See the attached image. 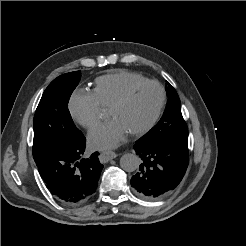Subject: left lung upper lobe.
Returning a JSON list of instances; mask_svg holds the SVG:
<instances>
[{
  "instance_id": "1",
  "label": "left lung upper lobe",
  "mask_w": 246,
  "mask_h": 246,
  "mask_svg": "<svg viewBox=\"0 0 246 246\" xmlns=\"http://www.w3.org/2000/svg\"><path fill=\"white\" fill-rule=\"evenodd\" d=\"M168 102L160 121L144 138L154 141L163 137H188V128L181 113V104L176 90L167 82Z\"/></svg>"
}]
</instances>
